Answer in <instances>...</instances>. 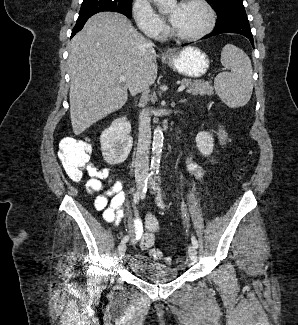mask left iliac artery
<instances>
[{"mask_svg": "<svg viewBox=\"0 0 298 325\" xmlns=\"http://www.w3.org/2000/svg\"><path fill=\"white\" fill-rule=\"evenodd\" d=\"M156 175H157L156 178H157V180H158V182L160 184L161 183V177L159 175V171L156 172ZM156 203H157L158 207H160L162 209L165 208V204L163 203L162 198H161V196L159 194L156 197ZM191 241H192V244L195 246V248H198V241L195 238V236L191 237Z\"/></svg>", "mask_w": 298, "mask_h": 325, "instance_id": "44dca946", "label": "left iliac artery"}]
</instances>
